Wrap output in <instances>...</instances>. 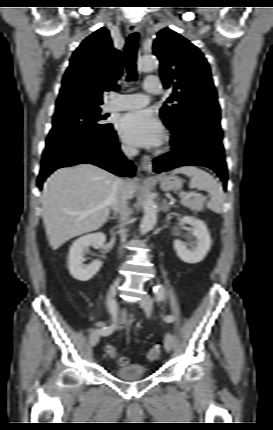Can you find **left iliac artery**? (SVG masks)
Masks as SVG:
<instances>
[{"label": "left iliac artery", "mask_w": 273, "mask_h": 430, "mask_svg": "<svg viewBox=\"0 0 273 430\" xmlns=\"http://www.w3.org/2000/svg\"><path fill=\"white\" fill-rule=\"evenodd\" d=\"M153 290H154V293H155V299H156V301L163 300V298L165 296V289H164L163 285L157 284L153 288ZM163 319L166 322H173L175 318L172 315H166V316H163Z\"/></svg>", "instance_id": "44dca946"}]
</instances>
